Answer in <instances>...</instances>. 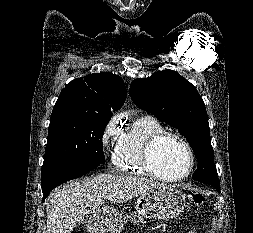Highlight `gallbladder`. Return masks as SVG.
Returning <instances> with one entry per match:
<instances>
[{
	"label": "gallbladder",
	"mask_w": 253,
	"mask_h": 233,
	"mask_svg": "<svg viewBox=\"0 0 253 233\" xmlns=\"http://www.w3.org/2000/svg\"><path fill=\"white\" fill-rule=\"evenodd\" d=\"M85 222H86V220H85V219H83V220L81 221V224H82V223H85Z\"/></svg>",
	"instance_id": "bac80fb5"
}]
</instances>
